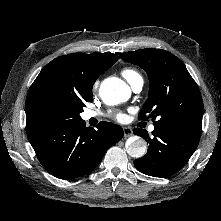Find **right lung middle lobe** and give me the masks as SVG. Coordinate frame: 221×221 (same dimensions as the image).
I'll return each mask as SVG.
<instances>
[{
	"label": "right lung middle lobe",
	"mask_w": 221,
	"mask_h": 221,
	"mask_svg": "<svg viewBox=\"0 0 221 221\" xmlns=\"http://www.w3.org/2000/svg\"><path fill=\"white\" fill-rule=\"evenodd\" d=\"M93 95L85 98L66 92L48 89L35 99L33 115L35 122L41 125H66L79 122L86 102H92Z\"/></svg>",
	"instance_id": "dd1d6c3e"
}]
</instances>
